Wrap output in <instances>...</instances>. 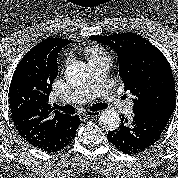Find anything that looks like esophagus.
<instances>
[{"label": "esophagus", "instance_id": "esophagus-1", "mask_svg": "<svg viewBox=\"0 0 178 178\" xmlns=\"http://www.w3.org/2000/svg\"><path fill=\"white\" fill-rule=\"evenodd\" d=\"M100 112L99 111H95V112H86V113H82L80 114L81 116L85 117H97L99 116Z\"/></svg>", "mask_w": 178, "mask_h": 178}]
</instances>
